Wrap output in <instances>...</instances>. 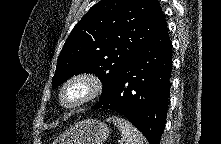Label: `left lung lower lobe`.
<instances>
[{
    "label": "left lung lower lobe",
    "instance_id": "1",
    "mask_svg": "<svg viewBox=\"0 0 221 144\" xmlns=\"http://www.w3.org/2000/svg\"><path fill=\"white\" fill-rule=\"evenodd\" d=\"M171 48L167 23L163 20L92 109H110L123 114L150 144H159L170 93Z\"/></svg>",
    "mask_w": 221,
    "mask_h": 144
}]
</instances>
